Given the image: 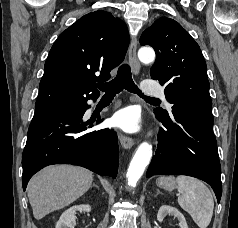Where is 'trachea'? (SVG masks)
I'll list each match as a JSON object with an SVG mask.
<instances>
[{"mask_svg": "<svg viewBox=\"0 0 238 228\" xmlns=\"http://www.w3.org/2000/svg\"><path fill=\"white\" fill-rule=\"evenodd\" d=\"M97 87L105 92L106 95H116L117 93L121 92L123 89H126L129 92L137 93L141 97L148 99V100H158L156 98H151L144 96L138 87L133 82L131 76V69L129 65L123 64L119 67L117 76L107 83L98 84Z\"/></svg>", "mask_w": 238, "mask_h": 228, "instance_id": "trachea-1", "label": "trachea"}]
</instances>
